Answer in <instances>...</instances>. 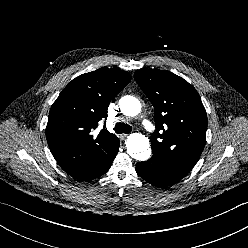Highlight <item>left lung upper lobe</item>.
<instances>
[{"mask_svg":"<svg viewBox=\"0 0 248 248\" xmlns=\"http://www.w3.org/2000/svg\"><path fill=\"white\" fill-rule=\"evenodd\" d=\"M135 80L155 110L157 129L150 137L153 155L187 175L205 146L207 114L199 94L166 70H138Z\"/></svg>","mask_w":248,"mask_h":248,"instance_id":"left-lung-upper-lobe-1","label":"left lung upper lobe"}]
</instances>
